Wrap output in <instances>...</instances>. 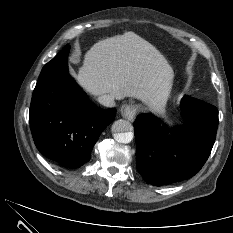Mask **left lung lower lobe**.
Masks as SVG:
<instances>
[{"label":"left lung lower lobe","mask_w":233,"mask_h":233,"mask_svg":"<svg viewBox=\"0 0 233 233\" xmlns=\"http://www.w3.org/2000/svg\"><path fill=\"white\" fill-rule=\"evenodd\" d=\"M181 109L186 123L171 130V135L150 114H140L134 122L136 167L149 184L161 186L189 179L211 153L218 127L217 108L184 96Z\"/></svg>","instance_id":"obj_1"}]
</instances>
